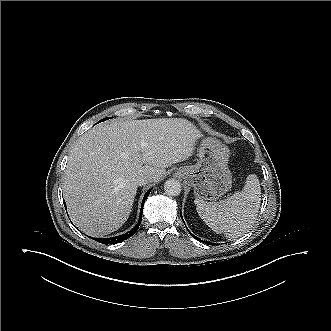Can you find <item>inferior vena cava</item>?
<instances>
[{"instance_id": "1", "label": "inferior vena cava", "mask_w": 331, "mask_h": 331, "mask_svg": "<svg viewBox=\"0 0 331 331\" xmlns=\"http://www.w3.org/2000/svg\"><path fill=\"white\" fill-rule=\"evenodd\" d=\"M152 180H153V176L152 175H149V174H147V175H141V176H139L136 179V184L138 186H143V185H145L147 183L152 182Z\"/></svg>"}]
</instances>
